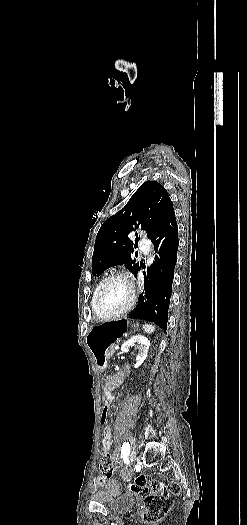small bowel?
<instances>
[{
  "label": "small bowel",
  "instance_id": "1",
  "mask_svg": "<svg viewBox=\"0 0 247 525\" xmlns=\"http://www.w3.org/2000/svg\"><path fill=\"white\" fill-rule=\"evenodd\" d=\"M117 393L112 391H106L104 394V399H110V401H114L117 398ZM102 449L104 452H110L112 449V430L111 427L108 424H105L103 428L102 433ZM113 462L116 466H120L122 463L121 460V453L119 449H115L112 454ZM96 482L100 486H104L106 484V479L103 476H99L96 479Z\"/></svg>",
  "mask_w": 247,
  "mask_h": 525
}]
</instances>
